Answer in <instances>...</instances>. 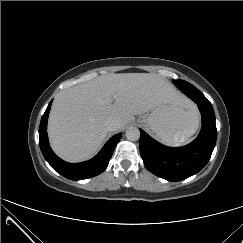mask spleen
<instances>
[{
  "label": "spleen",
  "instance_id": "3e777b00",
  "mask_svg": "<svg viewBox=\"0 0 243 243\" xmlns=\"http://www.w3.org/2000/svg\"><path fill=\"white\" fill-rule=\"evenodd\" d=\"M187 141V140H186ZM186 141H183V140H179V141H176L175 143H174V145H180V144H182V143H184V142H186Z\"/></svg>",
  "mask_w": 243,
  "mask_h": 243
}]
</instances>
